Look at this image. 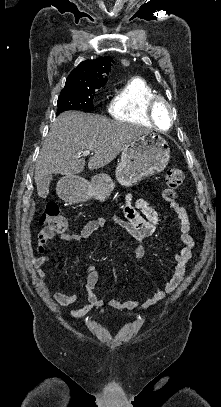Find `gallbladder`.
<instances>
[{
  "mask_svg": "<svg viewBox=\"0 0 221 407\" xmlns=\"http://www.w3.org/2000/svg\"><path fill=\"white\" fill-rule=\"evenodd\" d=\"M52 180V175L44 176L40 181L37 182V190L39 194H46L49 184Z\"/></svg>",
  "mask_w": 221,
  "mask_h": 407,
  "instance_id": "obj_1",
  "label": "gallbladder"
}]
</instances>
